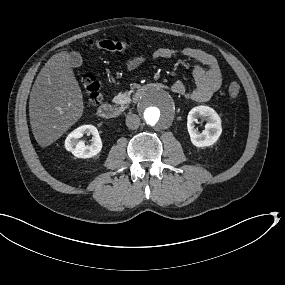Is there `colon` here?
<instances>
[{"instance_id": "5ec220e1", "label": "colon", "mask_w": 285, "mask_h": 285, "mask_svg": "<svg viewBox=\"0 0 285 285\" xmlns=\"http://www.w3.org/2000/svg\"><path fill=\"white\" fill-rule=\"evenodd\" d=\"M89 45L101 50L107 51H125L131 47L128 41L101 39L91 40ZM81 83L86 94L87 101L91 105H98L101 100L100 85L92 73H84L81 76ZM241 88L237 82H231L227 87V93L230 97H237L240 94Z\"/></svg>"}]
</instances>
